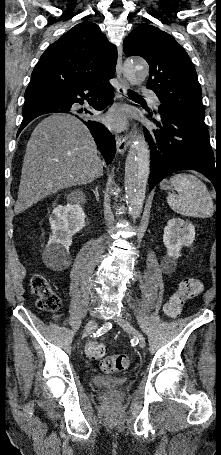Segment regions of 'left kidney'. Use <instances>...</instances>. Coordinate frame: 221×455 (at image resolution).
<instances>
[{
    "mask_svg": "<svg viewBox=\"0 0 221 455\" xmlns=\"http://www.w3.org/2000/svg\"><path fill=\"white\" fill-rule=\"evenodd\" d=\"M195 239V228L181 218H172L164 229L163 242L167 249L166 260H173L181 256L182 246H190Z\"/></svg>",
    "mask_w": 221,
    "mask_h": 455,
    "instance_id": "obj_1",
    "label": "left kidney"
}]
</instances>
